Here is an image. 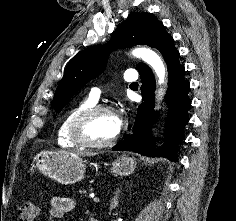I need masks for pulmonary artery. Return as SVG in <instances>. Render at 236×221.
<instances>
[{"instance_id":"pulmonary-artery-1","label":"pulmonary artery","mask_w":236,"mask_h":221,"mask_svg":"<svg viewBox=\"0 0 236 221\" xmlns=\"http://www.w3.org/2000/svg\"><path fill=\"white\" fill-rule=\"evenodd\" d=\"M123 79L125 82L132 83L137 80V76L135 75L134 71L129 70L124 73ZM100 94H101V90L99 88H93L90 92V97L94 101H97L100 97Z\"/></svg>"}]
</instances>
